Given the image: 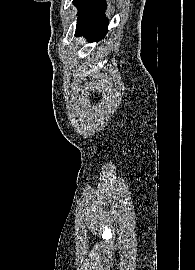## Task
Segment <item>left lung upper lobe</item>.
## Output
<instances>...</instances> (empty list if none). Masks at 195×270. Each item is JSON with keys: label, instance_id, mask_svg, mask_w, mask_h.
Wrapping results in <instances>:
<instances>
[{"label": "left lung upper lobe", "instance_id": "5c2ea615", "mask_svg": "<svg viewBox=\"0 0 195 270\" xmlns=\"http://www.w3.org/2000/svg\"><path fill=\"white\" fill-rule=\"evenodd\" d=\"M83 2H84V0H73V3L77 6L78 11H79Z\"/></svg>", "mask_w": 195, "mask_h": 270}]
</instances>
